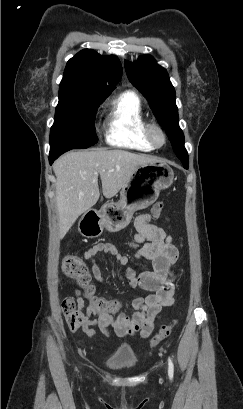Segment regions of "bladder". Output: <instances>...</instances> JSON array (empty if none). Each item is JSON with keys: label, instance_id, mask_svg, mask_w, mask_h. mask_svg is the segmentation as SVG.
Here are the masks:
<instances>
[{"label": "bladder", "instance_id": "31cf9c89", "mask_svg": "<svg viewBox=\"0 0 243 409\" xmlns=\"http://www.w3.org/2000/svg\"><path fill=\"white\" fill-rule=\"evenodd\" d=\"M105 366L112 371H125L132 369L135 366V361L130 358L114 359L108 361Z\"/></svg>", "mask_w": 243, "mask_h": 409}]
</instances>
